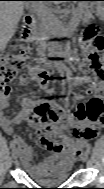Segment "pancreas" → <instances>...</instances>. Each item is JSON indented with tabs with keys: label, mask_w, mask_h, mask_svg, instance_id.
<instances>
[{
	"label": "pancreas",
	"mask_w": 104,
	"mask_h": 189,
	"mask_svg": "<svg viewBox=\"0 0 104 189\" xmlns=\"http://www.w3.org/2000/svg\"><path fill=\"white\" fill-rule=\"evenodd\" d=\"M86 8H78L76 11H73L72 23L78 22L80 19L87 21L92 16V11ZM66 25L60 21L58 18L52 19H43L40 25V32L34 36V40L39 43V46H44L47 44V40L53 37H62L66 34Z\"/></svg>",
	"instance_id": "pancreas-1"
}]
</instances>
